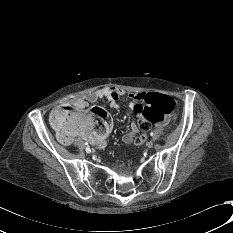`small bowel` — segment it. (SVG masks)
<instances>
[{
    "label": "small bowel",
    "mask_w": 233,
    "mask_h": 233,
    "mask_svg": "<svg viewBox=\"0 0 233 233\" xmlns=\"http://www.w3.org/2000/svg\"><path fill=\"white\" fill-rule=\"evenodd\" d=\"M142 92L138 93H127L126 91L119 89V88H102L99 90H96L94 92H90L83 96H77L72 97L68 100L67 105L71 106L73 111H82L88 107L89 104L95 103L98 100L105 99L108 101L109 105L113 109H119L120 103L119 100L122 97L129 96L132 100L131 102V109L132 111L137 115L141 116L140 112L135 108L134 100L135 97ZM151 94V93H150ZM59 110V107L54 109L52 112L53 114H57ZM73 114L68 115L70 117ZM62 117H65L66 115H61ZM67 117V118H68ZM68 128L65 132H57L58 139L64 143V144H71L75 136H81L85 138L88 142H90L92 145L96 146L97 148H103L107 142L108 137L110 136L112 132V121L108 123L103 124V130L94 133V134H88L86 130L81 129L73 124L67 125ZM138 134V126L135 121L131 123L130 130L123 135L122 141L126 144L132 143Z\"/></svg>",
    "instance_id": "obj_1"
}]
</instances>
